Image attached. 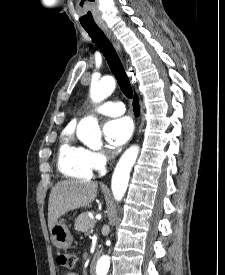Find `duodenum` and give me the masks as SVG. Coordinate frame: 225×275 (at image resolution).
<instances>
[{
    "instance_id": "410a0bca",
    "label": "duodenum",
    "mask_w": 225,
    "mask_h": 275,
    "mask_svg": "<svg viewBox=\"0 0 225 275\" xmlns=\"http://www.w3.org/2000/svg\"><path fill=\"white\" fill-rule=\"evenodd\" d=\"M95 271V260H93L90 264V274L93 275Z\"/></svg>"
}]
</instances>
